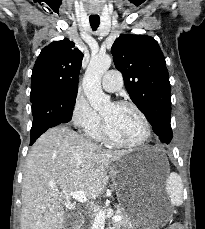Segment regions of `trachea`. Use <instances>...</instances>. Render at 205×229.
<instances>
[{"instance_id": "trachea-1", "label": "trachea", "mask_w": 205, "mask_h": 229, "mask_svg": "<svg viewBox=\"0 0 205 229\" xmlns=\"http://www.w3.org/2000/svg\"><path fill=\"white\" fill-rule=\"evenodd\" d=\"M90 25L93 30H96L99 27L100 24V17L97 15H92L89 17Z\"/></svg>"}]
</instances>
